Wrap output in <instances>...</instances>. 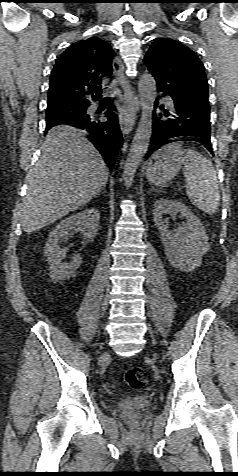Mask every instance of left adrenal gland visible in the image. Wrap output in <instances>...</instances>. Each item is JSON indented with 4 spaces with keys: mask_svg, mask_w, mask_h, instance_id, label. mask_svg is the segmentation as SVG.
I'll use <instances>...</instances> for the list:
<instances>
[{
    "mask_svg": "<svg viewBox=\"0 0 238 476\" xmlns=\"http://www.w3.org/2000/svg\"><path fill=\"white\" fill-rule=\"evenodd\" d=\"M150 191L157 192V190L155 188H152Z\"/></svg>",
    "mask_w": 238,
    "mask_h": 476,
    "instance_id": "a2214340",
    "label": "left adrenal gland"
}]
</instances>
